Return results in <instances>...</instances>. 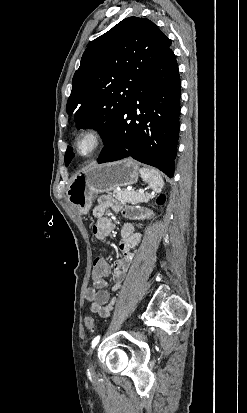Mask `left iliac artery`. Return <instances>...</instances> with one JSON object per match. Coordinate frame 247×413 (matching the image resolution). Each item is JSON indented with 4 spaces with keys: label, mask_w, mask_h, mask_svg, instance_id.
Returning <instances> with one entry per match:
<instances>
[{
    "label": "left iliac artery",
    "mask_w": 247,
    "mask_h": 413,
    "mask_svg": "<svg viewBox=\"0 0 247 413\" xmlns=\"http://www.w3.org/2000/svg\"><path fill=\"white\" fill-rule=\"evenodd\" d=\"M99 340H100V336L98 335L93 339L91 347L95 348V346L98 344Z\"/></svg>",
    "instance_id": "44dca946"
}]
</instances>
